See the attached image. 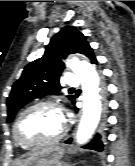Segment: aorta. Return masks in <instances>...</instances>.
Returning a JSON list of instances; mask_svg holds the SVG:
<instances>
[{
  "label": "aorta",
  "instance_id": "obj_1",
  "mask_svg": "<svg viewBox=\"0 0 135 166\" xmlns=\"http://www.w3.org/2000/svg\"><path fill=\"white\" fill-rule=\"evenodd\" d=\"M67 66L78 76L83 91V115L77 130L76 142L85 144L94 133L101 114L99 76L89 62L73 58Z\"/></svg>",
  "mask_w": 135,
  "mask_h": 166
}]
</instances>
